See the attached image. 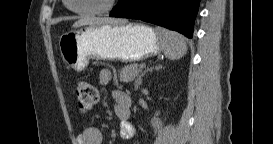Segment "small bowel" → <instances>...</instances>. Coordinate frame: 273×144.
Returning <instances> with one entry per match:
<instances>
[{
	"instance_id": "1",
	"label": "small bowel",
	"mask_w": 273,
	"mask_h": 144,
	"mask_svg": "<svg viewBox=\"0 0 273 144\" xmlns=\"http://www.w3.org/2000/svg\"><path fill=\"white\" fill-rule=\"evenodd\" d=\"M99 83L107 86L112 80L110 70H103L98 77ZM115 104V113L120 120V138L123 141H130L134 135L135 128L130 122V106L126 103L129 97L123 92H115L113 94ZM102 133L96 127H86L75 140V144H101Z\"/></svg>"
}]
</instances>
